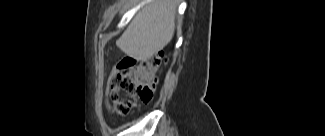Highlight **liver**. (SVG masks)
I'll return each mask as SVG.
<instances>
[{"mask_svg": "<svg viewBox=\"0 0 325 136\" xmlns=\"http://www.w3.org/2000/svg\"><path fill=\"white\" fill-rule=\"evenodd\" d=\"M179 0H154L131 21L116 44L127 56L146 61L173 38Z\"/></svg>", "mask_w": 325, "mask_h": 136, "instance_id": "6515ba94", "label": "liver"}]
</instances>
